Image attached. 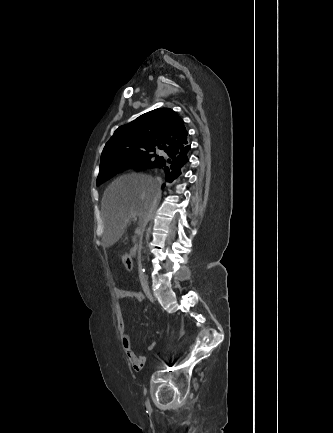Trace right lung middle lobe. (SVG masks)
<instances>
[{"label":"right lung middle lobe","instance_id":"dd1d6c3e","mask_svg":"<svg viewBox=\"0 0 333 433\" xmlns=\"http://www.w3.org/2000/svg\"><path fill=\"white\" fill-rule=\"evenodd\" d=\"M163 157L155 154V149L127 150L102 159L97 186L123 171L127 166L142 168L154 167Z\"/></svg>","mask_w":333,"mask_h":433}]
</instances>
